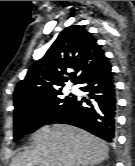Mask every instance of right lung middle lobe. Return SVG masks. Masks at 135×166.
Instances as JSON below:
<instances>
[{"instance_id": "obj_1", "label": "right lung middle lobe", "mask_w": 135, "mask_h": 166, "mask_svg": "<svg viewBox=\"0 0 135 166\" xmlns=\"http://www.w3.org/2000/svg\"><path fill=\"white\" fill-rule=\"evenodd\" d=\"M61 94L59 92L42 101L15 109L13 140L16 141L24 134L34 132L44 124L52 123L63 113L72 104L74 96L62 99Z\"/></svg>"}]
</instances>
